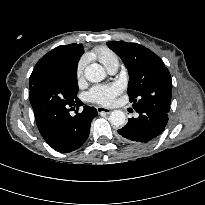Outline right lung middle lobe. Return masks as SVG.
<instances>
[{"mask_svg": "<svg viewBox=\"0 0 205 205\" xmlns=\"http://www.w3.org/2000/svg\"><path fill=\"white\" fill-rule=\"evenodd\" d=\"M73 86L75 87L76 90H78V85H77V69L69 70L67 72Z\"/></svg>", "mask_w": 205, "mask_h": 205, "instance_id": "dd1d6c3e", "label": "right lung middle lobe"}]
</instances>
